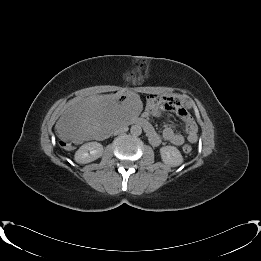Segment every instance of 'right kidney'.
Instances as JSON below:
<instances>
[{
    "instance_id": "right-kidney-1",
    "label": "right kidney",
    "mask_w": 261,
    "mask_h": 261,
    "mask_svg": "<svg viewBox=\"0 0 261 261\" xmlns=\"http://www.w3.org/2000/svg\"><path fill=\"white\" fill-rule=\"evenodd\" d=\"M103 145L98 142H88L83 144L75 153L74 159L79 164L90 163L103 154Z\"/></svg>"
}]
</instances>
